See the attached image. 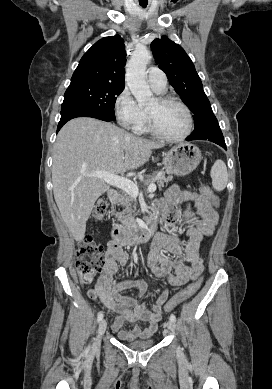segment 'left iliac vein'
I'll use <instances>...</instances> for the list:
<instances>
[{
	"mask_svg": "<svg viewBox=\"0 0 272 389\" xmlns=\"http://www.w3.org/2000/svg\"><path fill=\"white\" fill-rule=\"evenodd\" d=\"M168 330L174 332L175 331V328H176V325L173 321H168L167 324H166Z\"/></svg>",
	"mask_w": 272,
	"mask_h": 389,
	"instance_id": "1",
	"label": "left iliac vein"
}]
</instances>
